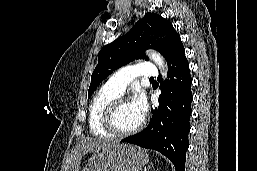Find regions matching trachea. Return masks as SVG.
<instances>
[{"mask_svg": "<svg viewBox=\"0 0 257 171\" xmlns=\"http://www.w3.org/2000/svg\"><path fill=\"white\" fill-rule=\"evenodd\" d=\"M150 80H154V78H150Z\"/></svg>", "mask_w": 257, "mask_h": 171, "instance_id": "1", "label": "trachea"}]
</instances>
